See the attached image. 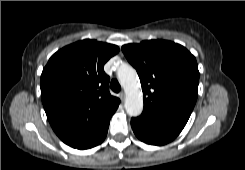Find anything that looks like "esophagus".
Wrapping results in <instances>:
<instances>
[{
  "mask_svg": "<svg viewBox=\"0 0 245 170\" xmlns=\"http://www.w3.org/2000/svg\"><path fill=\"white\" fill-rule=\"evenodd\" d=\"M119 96H120L121 100L123 101L124 100V97H125V93L123 91H121L119 93Z\"/></svg>",
  "mask_w": 245,
  "mask_h": 170,
  "instance_id": "34e87169",
  "label": "esophagus"
}]
</instances>
